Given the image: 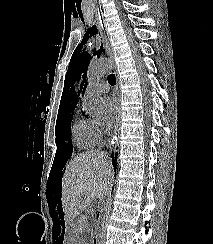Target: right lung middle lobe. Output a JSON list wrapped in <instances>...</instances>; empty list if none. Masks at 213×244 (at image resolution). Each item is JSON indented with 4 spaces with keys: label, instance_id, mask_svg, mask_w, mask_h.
<instances>
[{
    "label": "right lung middle lobe",
    "instance_id": "1",
    "mask_svg": "<svg viewBox=\"0 0 213 244\" xmlns=\"http://www.w3.org/2000/svg\"><path fill=\"white\" fill-rule=\"evenodd\" d=\"M73 111H69L57 118L56 129V145L57 151L55 154L54 162L51 168L49 179L57 176L59 171L65 166L67 160L71 157L73 147L71 143V121Z\"/></svg>",
    "mask_w": 213,
    "mask_h": 244
}]
</instances>
